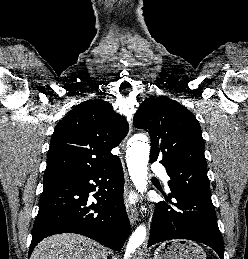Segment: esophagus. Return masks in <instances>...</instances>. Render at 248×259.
I'll use <instances>...</instances> for the list:
<instances>
[{"instance_id": "obj_1", "label": "esophagus", "mask_w": 248, "mask_h": 259, "mask_svg": "<svg viewBox=\"0 0 248 259\" xmlns=\"http://www.w3.org/2000/svg\"><path fill=\"white\" fill-rule=\"evenodd\" d=\"M132 133V122H129V131L128 134L126 136V138L123 140L122 142V148L125 147L126 145V141L128 139V137L130 136V134ZM124 176H125V184H124V199H125V206H126V211L128 214V218L131 222L132 225H134L136 223V221L138 220V215L136 212V209L130 204L129 202V194L131 191V183L128 177L127 172H124Z\"/></svg>"}]
</instances>
